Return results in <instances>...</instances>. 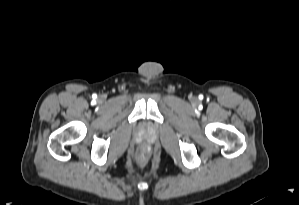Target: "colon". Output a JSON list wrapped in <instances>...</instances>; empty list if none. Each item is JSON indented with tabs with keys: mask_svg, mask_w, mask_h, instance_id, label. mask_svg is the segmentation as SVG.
Here are the masks:
<instances>
[{
	"mask_svg": "<svg viewBox=\"0 0 299 205\" xmlns=\"http://www.w3.org/2000/svg\"><path fill=\"white\" fill-rule=\"evenodd\" d=\"M137 162L140 166H144L147 162V154L144 151H141L137 155Z\"/></svg>",
	"mask_w": 299,
	"mask_h": 205,
	"instance_id": "5ec220e1",
	"label": "colon"
}]
</instances>
